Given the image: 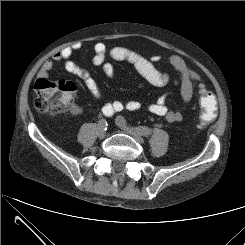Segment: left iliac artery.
<instances>
[{"mask_svg": "<svg viewBox=\"0 0 245 245\" xmlns=\"http://www.w3.org/2000/svg\"><path fill=\"white\" fill-rule=\"evenodd\" d=\"M120 119H121V122H122L123 125H125V126L128 125L127 121L125 120L124 117L121 116ZM134 129L136 131H138L141 135H144V136H149L151 134V132H152L150 128L145 127V126H136V127H134Z\"/></svg>", "mask_w": 245, "mask_h": 245, "instance_id": "1", "label": "left iliac artery"}]
</instances>
